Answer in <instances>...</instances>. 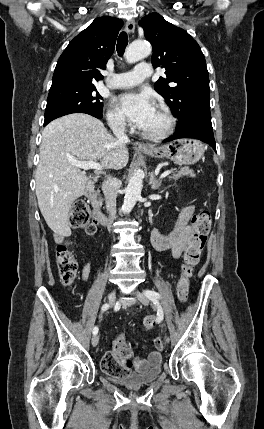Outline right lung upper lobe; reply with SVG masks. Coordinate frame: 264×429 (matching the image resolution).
<instances>
[{
  "label": "right lung upper lobe",
  "mask_w": 264,
  "mask_h": 429,
  "mask_svg": "<svg viewBox=\"0 0 264 429\" xmlns=\"http://www.w3.org/2000/svg\"><path fill=\"white\" fill-rule=\"evenodd\" d=\"M122 20L96 18L89 27L72 39L61 54L50 89L67 85H94L101 80V69L112 55Z\"/></svg>",
  "instance_id": "cb5924a9"
}]
</instances>
